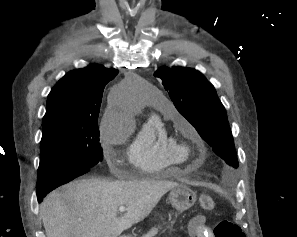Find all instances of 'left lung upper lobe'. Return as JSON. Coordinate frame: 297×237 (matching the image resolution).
<instances>
[{"label":"left lung upper lobe","mask_w":297,"mask_h":237,"mask_svg":"<svg viewBox=\"0 0 297 237\" xmlns=\"http://www.w3.org/2000/svg\"><path fill=\"white\" fill-rule=\"evenodd\" d=\"M178 111L195 127L215 154L227 164L238 167L234 141L226 110L214 86L195 69L166 66L154 73Z\"/></svg>","instance_id":"left-lung-upper-lobe-1"}]
</instances>
